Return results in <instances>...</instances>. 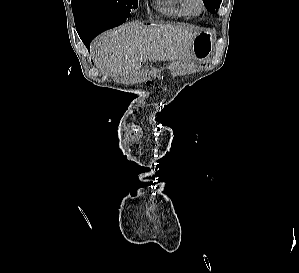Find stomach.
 <instances>
[{
  "instance_id": "1",
  "label": "stomach",
  "mask_w": 299,
  "mask_h": 273,
  "mask_svg": "<svg viewBox=\"0 0 299 273\" xmlns=\"http://www.w3.org/2000/svg\"><path fill=\"white\" fill-rule=\"evenodd\" d=\"M214 33L211 30H202L192 41V53L199 61H208L213 52Z\"/></svg>"
}]
</instances>
